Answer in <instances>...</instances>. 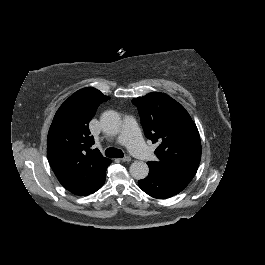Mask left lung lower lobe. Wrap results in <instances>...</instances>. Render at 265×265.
Wrapping results in <instances>:
<instances>
[{
  "mask_svg": "<svg viewBox=\"0 0 265 265\" xmlns=\"http://www.w3.org/2000/svg\"><path fill=\"white\" fill-rule=\"evenodd\" d=\"M191 180L187 177L165 176L149 171L148 176L138 181V184L148 195L161 199L172 197L181 192Z\"/></svg>",
  "mask_w": 265,
  "mask_h": 265,
  "instance_id": "1",
  "label": "left lung lower lobe"
}]
</instances>
